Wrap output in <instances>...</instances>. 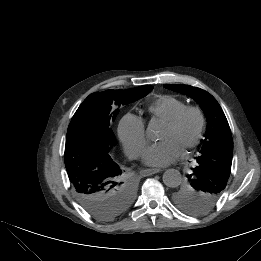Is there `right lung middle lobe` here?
Wrapping results in <instances>:
<instances>
[{
  "label": "right lung middle lobe",
  "instance_id": "dd1d6c3e",
  "mask_svg": "<svg viewBox=\"0 0 261 261\" xmlns=\"http://www.w3.org/2000/svg\"><path fill=\"white\" fill-rule=\"evenodd\" d=\"M153 89L150 85L127 90H107L89 95L75 112L68 131L74 129L89 130L99 135L109 144L115 145L114 134L109 127L119 109L115 106L132 103ZM74 195L81 206L93 217L109 221L124 213L135 196V186L131 179L121 173L105 183L86 187Z\"/></svg>",
  "mask_w": 261,
  "mask_h": 261
}]
</instances>
